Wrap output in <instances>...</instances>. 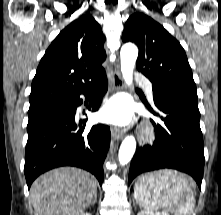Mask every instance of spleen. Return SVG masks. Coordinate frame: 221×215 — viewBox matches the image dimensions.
<instances>
[{
  "instance_id": "1",
  "label": "spleen",
  "mask_w": 221,
  "mask_h": 215,
  "mask_svg": "<svg viewBox=\"0 0 221 215\" xmlns=\"http://www.w3.org/2000/svg\"><path fill=\"white\" fill-rule=\"evenodd\" d=\"M194 187L191 178L168 170L156 181L151 175L140 176L135 182L134 197L147 211L163 208L174 215H191L195 207Z\"/></svg>"
}]
</instances>
